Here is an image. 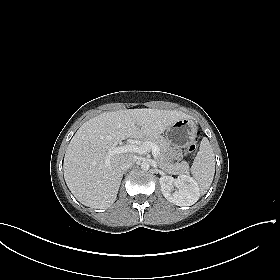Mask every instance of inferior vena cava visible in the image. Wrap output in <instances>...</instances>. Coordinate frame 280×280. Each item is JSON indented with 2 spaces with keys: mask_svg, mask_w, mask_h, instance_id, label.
Returning a JSON list of instances; mask_svg holds the SVG:
<instances>
[{
  "mask_svg": "<svg viewBox=\"0 0 280 280\" xmlns=\"http://www.w3.org/2000/svg\"><path fill=\"white\" fill-rule=\"evenodd\" d=\"M135 162H136V157L134 155L125 154L124 156H122L119 165L121 170L125 171L129 169L131 166H133Z\"/></svg>",
  "mask_w": 280,
  "mask_h": 280,
  "instance_id": "1",
  "label": "inferior vena cava"
}]
</instances>
